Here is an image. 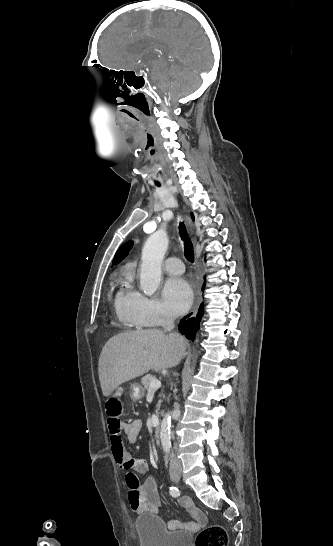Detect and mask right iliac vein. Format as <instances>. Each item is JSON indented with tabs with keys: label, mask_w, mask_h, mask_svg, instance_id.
<instances>
[{
	"label": "right iliac vein",
	"mask_w": 333,
	"mask_h": 546,
	"mask_svg": "<svg viewBox=\"0 0 333 546\" xmlns=\"http://www.w3.org/2000/svg\"><path fill=\"white\" fill-rule=\"evenodd\" d=\"M181 478V474L180 472H172L171 473V479L174 481V482H178Z\"/></svg>",
	"instance_id": "63e3f726"
}]
</instances>
